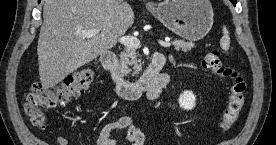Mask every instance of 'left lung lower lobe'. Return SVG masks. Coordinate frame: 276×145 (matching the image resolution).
<instances>
[{"instance_id":"1","label":"left lung lower lobe","mask_w":276,"mask_h":145,"mask_svg":"<svg viewBox=\"0 0 276 145\" xmlns=\"http://www.w3.org/2000/svg\"><path fill=\"white\" fill-rule=\"evenodd\" d=\"M230 1L233 3V5H236L237 0H230Z\"/></svg>"}]
</instances>
